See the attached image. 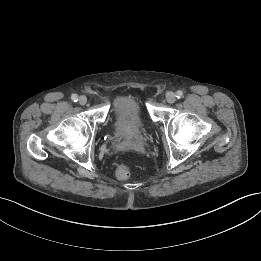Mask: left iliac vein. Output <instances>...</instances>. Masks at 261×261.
Returning <instances> with one entry per match:
<instances>
[{"instance_id": "4c4485c4", "label": "left iliac vein", "mask_w": 261, "mask_h": 261, "mask_svg": "<svg viewBox=\"0 0 261 261\" xmlns=\"http://www.w3.org/2000/svg\"><path fill=\"white\" fill-rule=\"evenodd\" d=\"M166 100L168 103L172 104L176 101V95L173 92H168L166 94Z\"/></svg>"}]
</instances>
